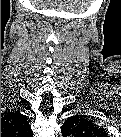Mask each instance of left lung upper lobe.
Segmentation results:
<instances>
[{
  "instance_id": "left-lung-upper-lobe-1",
  "label": "left lung upper lobe",
  "mask_w": 121,
  "mask_h": 137,
  "mask_svg": "<svg viewBox=\"0 0 121 137\" xmlns=\"http://www.w3.org/2000/svg\"><path fill=\"white\" fill-rule=\"evenodd\" d=\"M62 133H86L99 136H105L107 134L104 128L99 127L98 125L81 115H75L68 118L62 126Z\"/></svg>"
}]
</instances>
